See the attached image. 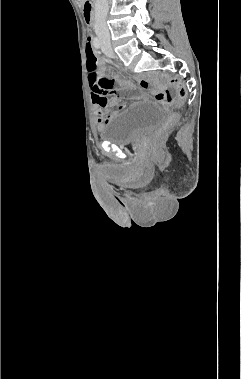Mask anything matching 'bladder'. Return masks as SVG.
Wrapping results in <instances>:
<instances>
[{"instance_id": "31cf9c89", "label": "bladder", "mask_w": 241, "mask_h": 379, "mask_svg": "<svg viewBox=\"0 0 241 379\" xmlns=\"http://www.w3.org/2000/svg\"><path fill=\"white\" fill-rule=\"evenodd\" d=\"M163 112L154 104L136 103L113 114L99 130L101 139L118 145L129 144L156 127Z\"/></svg>"}]
</instances>
